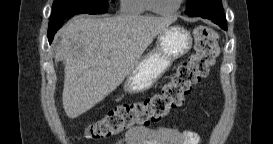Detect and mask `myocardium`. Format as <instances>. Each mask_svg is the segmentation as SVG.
<instances>
[{
    "mask_svg": "<svg viewBox=\"0 0 273 144\" xmlns=\"http://www.w3.org/2000/svg\"><path fill=\"white\" fill-rule=\"evenodd\" d=\"M183 2L184 0H178L177 5L174 8L168 10H161L157 7L156 0H147V8L148 11H151L156 15H172L180 9Z\"/></svg>",
    "mask_w": 273,
    "mask_h": 144,
    "instance_id": "myocardium-1",
    "label": "myocardium"
}]
</instances>
